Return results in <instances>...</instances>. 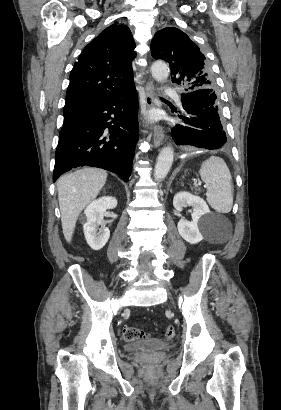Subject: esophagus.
I'll use <instances>...</instances> for the list:
<instances>
[{
  "mask_svg": "<svg viewBox=\"0 0 281 410\" xmlns=\"http://www.w3.org/2000/svg\"><path fill=\"white\" fill-rule=\"evenodd\" d=\"M145 104L148 108L154 107L157 105L155 88L151 82H147L145 85ZM165 134L161 125H156L154 129L153 142L155 147H159L163 140Z\"/></svg>",
  "mask_w": 281,
  "mask_h": 410,
  "instance_id": "esophagus-1",
  "label": "esophagus"
}]
</instances>
